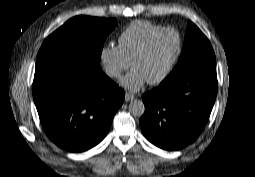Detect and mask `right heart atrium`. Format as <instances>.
<instances>
[{"label": "right heart atrium", "instance_id": "right-heart-atrium-1", "mask_svg": "<svg viewBox=\"0 0 255 177\" xmlns=\"http://www.w3.org/2000/svg\"><path fill=\"white\" fill-rule=\"evenodd\" d=\"M100 59L107 75L113 79L120 78L130 64L126 60L120 46L114 43L105 44L101 48Z\"/></svg>", "mask_w": 255, "mask_h": 177}]
</instances>
